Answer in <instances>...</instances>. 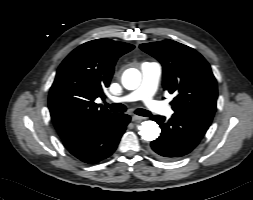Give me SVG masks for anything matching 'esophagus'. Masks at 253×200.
Segmentation results:
<instances>
[{
  "mask_svg": "<svg viewBox=\"0 0 253 200\" xmlns=\"http://www.w3.org/2000/svg\"><path fill=\"white\" fill-rule=\"evenodd\" d=\"M143 119H144V117H141V116H138V115H133L132 116V121L133 122H138V121H141Z\"/></svg>",
  "mask_w": 253,
  "mask_h": 200,
  "instance_id": "esophagus-1",
  "label": "esophagus"
}]
</instances>
